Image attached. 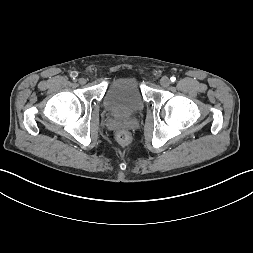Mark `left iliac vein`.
<instances>
[{"label":"left iliac vein","instance_id":"left-iliac-vein-1","mask_svg":"<svg viewBox=\"0 0 253 253\" xmlns=\"http://www.w3.org/2000/svg\"><path fill=\"white\" fill-rule=\"evenodd\" d=\"M170 79L166 76L162 77L161 80H160V84L161 86L163 87H168L170 85Z\"/></svg>","mask_w":253,"mask_h":253}]
</instances>
